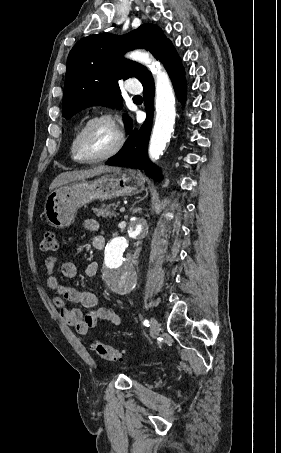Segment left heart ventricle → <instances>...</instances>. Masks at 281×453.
<instances>
[{"mask_svg": "<svg viewBox=\"0 0 281 453\" xmlns=\"http://www.w3.org/2000/svg\"><path fill=\"white\" fill-rule=\"evenodd\" d=\"M117 142L116 130L107 123L91 125L79 144V156L89 159L108 151Z\"/></svg>", "mask_w": 281, "mask_h": 453, "instance_id": "1", "label": "left heart ventricle"}]
</instances>
